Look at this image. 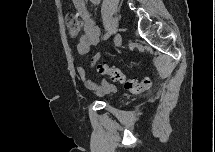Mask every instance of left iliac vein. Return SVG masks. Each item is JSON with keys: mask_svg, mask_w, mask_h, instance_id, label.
Segmentation results:
<instances>
[{"mask_svg": "<svg viewBox=\"0 0 215 152\" xmlns=\"http://www.w3.org/2000/svg\"><path fill=\"white\" fill-rule=\"evenodd\" d=\"M114 44L116 47H120L122 45V36L121 34L117 33L114 37Z\"/></svg>", "mask_w": 215, "mask_h": 152, "instance_id": "left-iliac-vein-1", "label": "left iliac vein"}]
</instances>
